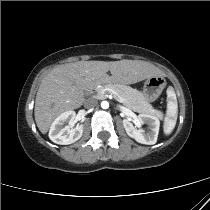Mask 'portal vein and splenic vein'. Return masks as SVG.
I'll list each match as a JSON object with an SVG mask.
<instances>
[{
    "label": "portal vein and splenic vein",
    "instance_id": "portal-vein-and-splenic-vein-1",
    "mask_svg": "<svg viewBox=\"0 0 210 210\" xmlns=\"http://www.w3.org/2000/svg\"><path fill=\"white\" fill-rule=\"evenodd\" d=\"M112 93L118 98V101L123 102V99L120 98L114 91H112Z\"/></svg>",
    "mask_w": 210,
    "mask_h": 210
}]
</instances>
